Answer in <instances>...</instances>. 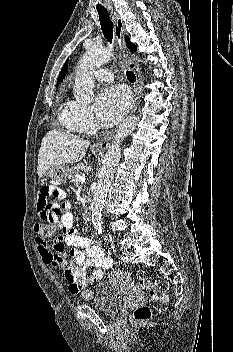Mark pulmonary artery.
I'll return each mask as SVG.
<instances>
[{
	"instance_id": "1",
	"label": "pulmonary artery",
	"mask_w": 233,
	"mask_h": 352,
	"mask_svg": "<svg viewBox=\"0 0 233 352\" xmlns=\"http://www.w3.org/2000/svg\"><path fill=\"white\" fill-rule=\"evenodd\" d=\"M93 76L98 81L108 82L113 80V74L107 69H98L93 73Z\"/></svg>"
}]
</instances>
